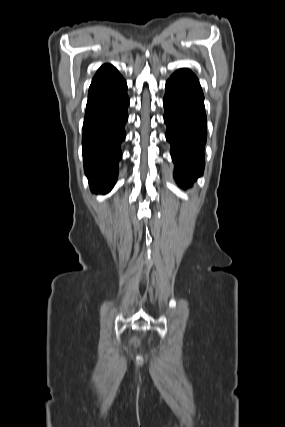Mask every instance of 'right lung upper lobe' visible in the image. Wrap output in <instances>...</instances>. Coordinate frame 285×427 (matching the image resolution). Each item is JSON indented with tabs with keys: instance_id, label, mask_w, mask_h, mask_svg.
I'll use <instances>...</instances> for the list:
<instances>
[{
	"instance_id": "right-lung-upper-lobe-1",
	"label": "right lung upper lobe",
	"mask_w": 285,
	"mask_h": 427,
	"mask_svg": "<svg viewBox=\"0 0 285 427\" xmlns=\"http://www.w3.org/2000/svg\"><path fill=\"white\" fill-rule=\"evenodd\" d=\"M114 67L112 66V65H110V64H105V65H103V66H101L100 68H99V70L97 71V73H96V75L95 76H98V75H101V74H103V73H106V72H108V71H110V70H112Z\"/></svg>"
}]
</instances>
